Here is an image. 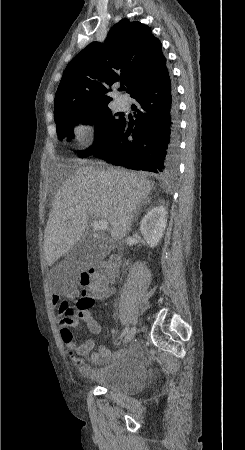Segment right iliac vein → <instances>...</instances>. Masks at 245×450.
<instances>
[{"instance_id": "right-iliac-vein-1", "label": "right iliac vein", "mask_w": 245, "mask_h": 450, "mask_svg": "<svg viewBox=\"0 0 245 450\" xmlns=\"http://www.w3.org/2000/svg\"><path fill=\"white\" fill-rule=\"evenodd\" d=\"M136 331H137L136 327H135V326L132 327V328L129 330V332L127 333V335H126V337H125V340H124V343H128L129 341H131V340L134 338V336H135V334H136Z\"/></svg>"}]
</instances>
